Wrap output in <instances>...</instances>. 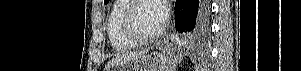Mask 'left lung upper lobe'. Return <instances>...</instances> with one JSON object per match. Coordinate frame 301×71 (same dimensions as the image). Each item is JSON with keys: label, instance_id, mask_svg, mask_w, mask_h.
<instances>
[{"label": "left lung upper lobe", "instance_id": "5c2ea615", "mask_svg": "<svg viewBox=\"0 0 301 71\" xmlns=\"http://www.w3.org/2000/svg\"><path fill=\"white\" fill-rule=\"evenodd\" d=\"M105 4H107L109 2V0H104ZM186 39V38H185Z\"/></svg>", "mask_w": 301, "mask_h": 71}]
</instances>
